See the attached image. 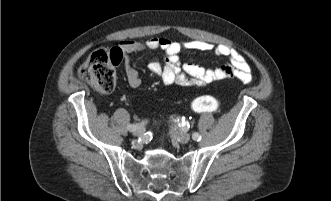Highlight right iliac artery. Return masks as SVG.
Masks as SVG:
<instances>
[{"mask_svg": "<svg viewBox=\"0 0 331 201\" xmlns=\"http://www.w3.org/2000/svg\"><path fill=\"white\" fill-rule=\"evenodd\" d=\"M143 123H144V122H143ZM137 125H138V124H136V125H134V124H129V125H127V129H128L129 131H134L135 128L137 127Z\"/></svg>", "mask_w": 331, "mask_h": 201, "instance_id": "82829eb1", "label": "right iliac artery"}]
</instances>
